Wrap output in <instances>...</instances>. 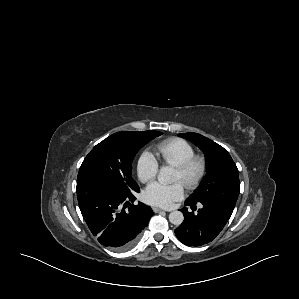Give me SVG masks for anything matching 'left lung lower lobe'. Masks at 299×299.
I'll list each match as a JSON object with an SVG mask.
<instances>
[{
	"label": "left lung lower lobe",
	"mask_w": 299,
	"mask_h": 299,
	"mask_svg": "<svg viewBox=\"0 0 299 299\" xmlns=\"http://www.w3.org/2000/svg\"><path fill=\"white\" fill-rule=\"evenodd\" d=\"M187 200L186 206H195ZM203 207L198 210L197 214L188 212L184 207L181 211L184 213L183 223L175 229V234L178 240L187 246H201L211 242L223 229L229 218L232 210L218 202H203Z\"/></svg>",
	"instance_id": "obj_1"
}]
</instances>
